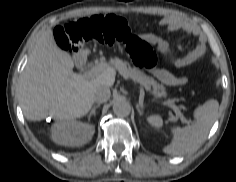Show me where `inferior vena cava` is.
I'll return each instance as SVG.
<instances>
[{"label": "inferior vena cava", "mask_w": 236, "mask_h": 182, "mask_svg": "<svg viewBox=\"0 0 236 182\" xmlns=\"http://www.w3.org/2000/svg\"><path fill=\"white\" fill-rule=\"evenodd\" d=\"M111 96L110 89L106 86H99L94 92V101L97 103H103L109 100Z\"/></svg>", "instance_id": "obj_1"}]
</instances>
